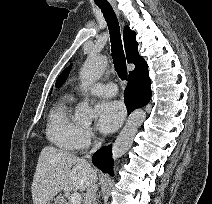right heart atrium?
<instances>
[{
    "instance_id": "1",
    "label": "right heart atrium",
    "mask_w": 212,
    "mask_h": 204,
    "mask_svg": "<svg viewBox=\"0 0 212 204\" xmlns=\"http://www.w3.org/2000/svg\"><path fill=\"white\" fill-rule=\"evenodd\" d=\"M95 139L94 131L89 127H82L77 138V149L89 147Z\"/></svg>"
}]
</instances>
